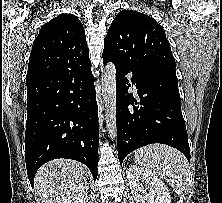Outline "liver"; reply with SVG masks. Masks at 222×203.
<instances>
[{"label":"liver","mask_w":222,"mask_h":203,"mask_svg":"<svg viewBox=\"0 0 222 203\" xmlns=\"http://www.w3.org/2000/svg\"><path fill=\"white\" fill-rule=\"evenodd\" d=\"M83 165L69 159L44 164L35 175L37 203H58L64 193L84 178Z\"/></svg>","instance_id":"liver-1"}]
</instances>
